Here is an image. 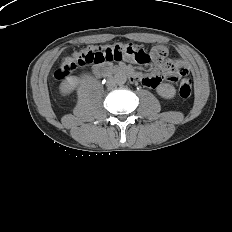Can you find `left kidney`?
Wrapping results in <instances>:
<instances>
[{"instance_id": "5707ae66", "label": "left kidney", "mask_w": 232, "mask_h": 232, "mask_svg": "<svg viewBox=\"0 0 232 232\" xmlns=\"http://www.w3.org/2000/svg\"><path fill=\"white\" fill-rule=\"evenodd\" d=\"M157 93L165 99H171L175 96L176 89L171 84L163 83L157 87Z\"/></svg>"}]
</instances>
